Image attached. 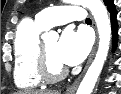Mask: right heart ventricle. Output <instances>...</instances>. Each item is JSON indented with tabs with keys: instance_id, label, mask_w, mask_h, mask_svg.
I'll return each instance as SVG.
<instances>
[{
	"instance_id": "e07e8e85",
	"label": "right heart ventricle",
	"mask_w": 121,
	"mask_h": 94,
	"mask_svg": "<svg viewBox=\"0 0 121 94\" xmlns=\"http://www.w3.org/2000/svg\"><path fill=\"white\" fill-rule=\"evenodd\" d=\"M47 28L37 20H24L14 40V81L18 88L33 89L42 84L37 72V51L40 34Z\"/></svg>"
}]
</instances>
